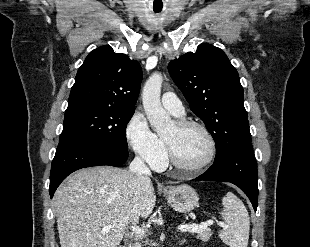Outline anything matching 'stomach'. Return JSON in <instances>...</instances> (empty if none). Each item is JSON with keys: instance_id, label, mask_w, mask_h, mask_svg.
Returning a JSON list of instances; mask_svg holds the SVG:
<instances>
[{"instance_id": "stomach-1", "label": "stomach", "mask_w": 310, "mask_h": 247, "mask_svg": "<svg viewBox=\"0 0 310 247\" xmlns=\"http://www.w3.org/2000/svg\"><path fill=\"white\" fill-rule=\"evenodd\" d=\"M164 196L175 211L182 213L192 211L199 202L196 191L186 184L165 189Z\"/></svg>"}]
</instances>
